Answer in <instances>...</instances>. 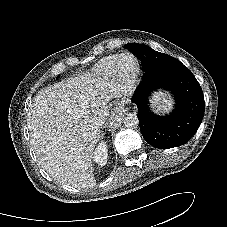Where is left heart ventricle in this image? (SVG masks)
Returning a JSON list of instances; mask_svg holds the SVG:
<instances>
[{
    "instance_id": "left-heart-ventricle-1",
    "label": "left heart ventricle",
    "mask_w": 227,
    "mask_h": 227,
    "mask_svg": "<svg viewBox=\"0 0 227 227\" xmlns=\"http://www.w3.org/2000/svg\"><path fill=\"white\" fill-rule=\"evenodd\" d=\"M134 67V62L130 58H126L123 62V68L125 71L129 72L133 69Z\"/></svg>"
}]
</instances>
